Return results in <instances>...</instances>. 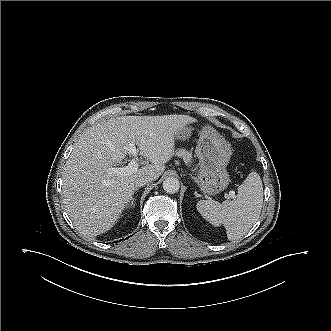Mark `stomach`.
I'll list each match as a JSON object with an SVG mask.
<instances>
[{
    "mask_svg": "<svg viewBox=\"0 0 331 331\" xmlns=\"http://www.w3.org/2000/svg\"><path fill=\"white\" fill-rule=\"evenodd\" d=\"M188 129L182 128L176 133L178 139L188 135ZM196 155L200 161L198 185L206 194H218L229 184L226 170L231 157L228 142L213 130H205L200 135L196 147Z\"/></svg>",
    "mask_w": 331,
    "mask_h": 331,
    "instance_id": "obj_1",
    "label": "stomach"
}]
</instances>
